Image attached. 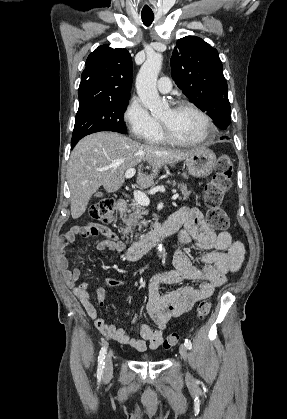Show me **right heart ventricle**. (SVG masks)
Returning a JSON list of instances; mask_svg holds the SVG:
<instances>
[{"label":"right heart ventricle","instance_id":"right-heart-ventricle-1","mask_svg":"<svg viewBox=\"0 0 287 419\" xmlns=\"http://www.w3.org/2000/svg\"><path fill=\"white\" fill-rule=\"evenodd\" d=\"M149 142L154 143V144H161V143H164V142H165V140H164V138H163L162 133L160 132L157 136H155V137H154L151 141H149Z\"/></svg>","mask_w":287,"mask_h":419}]
</instances>
